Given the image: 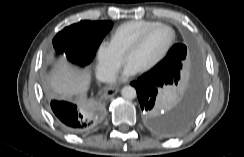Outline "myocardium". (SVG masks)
<instances>
[{
  "mask_svg": "<svg viewBox=\"0 0 244 157\" xmlns=\"http://www.w3.org/2000/svg\"><path fill=\"white\" fill-rule=\"evenodd\" d=\"M159 27H164V28H168L171 31V39L169 41V43L166 45V47L164 48V50L161 52V54L155 59L153 60L151 63H149L148 65L144 66L143 68L139 69L140 72H147L152 70L153 68H155L169 53L170 49L172 48V46L175 43L176 40V31L175 29L166 23H157L149 28H147L146 30H144L131 44L130 46L126 49L125 53H124V59L127 60L128 56L134 52L135 50H137L144 42V40L146 39V37L156 28Z\"/></svg>",
  "mask_w": 244,
  "mask_h": 157,
  "instance_id": "1",
  "label": "myocardium"
}]
</instances>
